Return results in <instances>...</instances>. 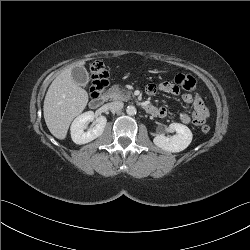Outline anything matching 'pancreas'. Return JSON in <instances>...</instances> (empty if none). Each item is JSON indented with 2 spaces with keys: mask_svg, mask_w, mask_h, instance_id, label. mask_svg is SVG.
<instances>
[{
  "mask_svg": "<svg viewBox=\"0 0 250 250\" xmlns=\"http://www.w3.org/2000/svg\"><path fill=\"white\" fill-rule=\"evenodd\" d=\"M107 95L111 100L128 101L131 99L132 92L121 89L118 85H114L109 88Z\"/></svg>",
  "mask_w": 250,
  "mask_h": 250,
  "instance_id": "1",
  "label": "pancreas"
}]
</instances>
